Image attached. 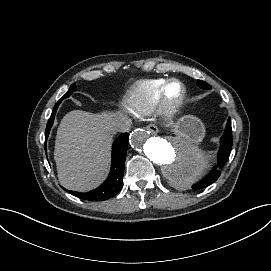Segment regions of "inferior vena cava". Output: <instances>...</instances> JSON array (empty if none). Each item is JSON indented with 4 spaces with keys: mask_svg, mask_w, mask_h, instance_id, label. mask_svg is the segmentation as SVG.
Listing matches in <instances>:
<instances>
[{
    "mask_svg": "<svg viewBox=\"0 0 271 271\" xmlns=\"http://www.w3.org/2000/svg\"><path fill=\"white\" fill-rule=\"evenodd\" d=\"M131 124L132 121L130 119L119 121L115 124V130L120 133L129 132L131 129Z\"/></svg>",
    "mask_w": 271,
    "mask_h": 271,
    "instance_id": "602c4592",
    "label": "inferior vena cava"
}]
</instances>
